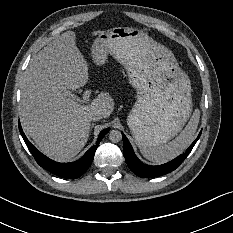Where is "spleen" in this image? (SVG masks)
<instances>
[{"mask_svg":"<svg viewBox=\"0 0 233 233\" xmlns=\"http://www.w3.org/2000/svg\"><path fill=\"white\" fill-rule=\"evenodd\" d=\"M200 120V110L196 108L184 130L171 142L157 148L141 149L144 158L154 164L168 163L181 155L195 139V132Z\"/></svg>","mask_w":233,"mask_h":233,"instance_id":"1","label":"spleen"}]
</instances>
